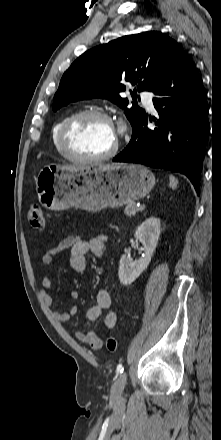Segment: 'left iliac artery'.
Wrapping results in <instances>:
<instances>
[{
  "instance_id": "obj_1",
  "label": "left iliac artery",
  "mask_w": 221,
  "mask_h": 440,
  "mask_svg": "<svg viewBox=\"0 0 221 440\" xmlns=\"http://www.w3.org/2000/svg\"><path fill=\"white\" fill-rule=\"evenodd\" d=\"M116 371H117L118 374H122L123 371H124L123 365L122 364H118Z\"/></svg>"
}]
</instances>
